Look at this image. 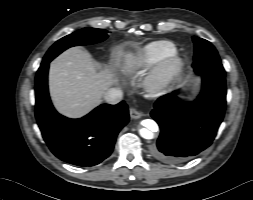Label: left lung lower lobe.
Returning a JSON list of instances; mask_svg holds the SVG:
<instances>
[{"label":"left lung lower lobe","mask_w":253,"mask_h":200,"mask_svg":"<svg viewBox=\"0 0 253 200\" xmlns=\"http://www.w3.org/2000/svg\"><path fill=\"white\" fill-rule=\"evenodd\" d=\"M202 89L193 102L179 100L178 91L160 97L151 116L160 135L151 147L154 158L180 163L211 145L221 124L226 104L225 77L201 74Z\"/></svg>","instance_id":"0a47b994"}]
</instances>
